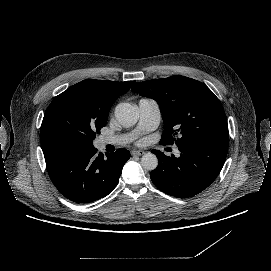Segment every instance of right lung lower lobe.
<instances>
[{
    "label": "right lung lower lobe",
    "mask_w": 271,
    "mask_h": 271,
    "mask_svg": "<svg viewBox=\"0 0 271 271\" xmlns=\"http://www.w3.org/2000/svg\"><path fill=\"white\" fill-rule=\"evenodd\" d=\"M44 157L59 192L76 203H89L112 192L130 152L118 149L104 158L94 146L69 147L44 153Z\"/></svg>",
    "instance_id": "98d812e1"
}]
</instances>
